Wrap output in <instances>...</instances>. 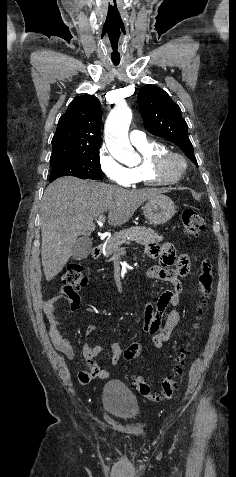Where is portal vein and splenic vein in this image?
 <instances>
[{
    "label": "portal vein and splenic vein",
    "mask_w": 236,
    "mask_h": 477,
    "mask_svg": "<svg viewBox=\"0 0 236 477\" xmlns=\"http://www.w3.org/2000/svg\"><path fill=\"white\" fill-rule=\"evenodd\" d=\"M97 222H98L99 224H103V223L105 222V216H104V215H100V216L98 217ZM126 244H130V242H126Z\"/></svg>",
    "instance_id": "portal-vein-and-splenic-vein-1"
}]
</instances>
